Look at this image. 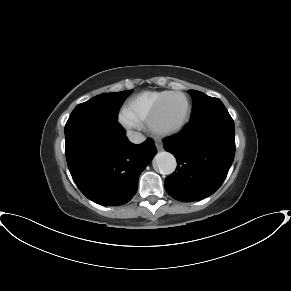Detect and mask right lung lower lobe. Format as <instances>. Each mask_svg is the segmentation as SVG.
Wrapping results in <instances>:
<instances>
[{"label": "right lung lower lobe", "instance_id": "1", "mask_svg": "<svg viewBox=\"0 0 291 291\" xmlns=\"http://www.w3.org/2000/svg\"><path fill=\"white\" fill-rule=\"evenodd\" d=\"M126 132L109 118L76 115L65 125V154L71 176L80 191L103 206L131 200L138 179L156 154L154 142H129Z\"/></svg>", "mask_w": 291, "mask_h": 291}]
</instances>
